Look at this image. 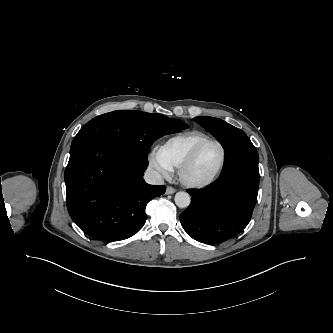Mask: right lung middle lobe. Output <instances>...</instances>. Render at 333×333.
Listing matches in <instances>:
<instances>
[{"instance_id": "1", "label": "right lung middle lobe", "mask_w": 333, "mask_h": 333, "mask_svg": "<svg viewBox=\"0 0 333 333\" xmlns=\"http://www.w3.org/2000/svg\"><path fill=\"white\" fill-rule=\"evenodd\" d=\"M188 125L161 114L113 111L93 118L77 133L71 146L86 139L113 144L128 154L147 161L148 149L158 138L179 132Z\"/></svg>"}]
</instances>
